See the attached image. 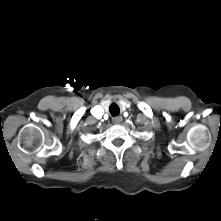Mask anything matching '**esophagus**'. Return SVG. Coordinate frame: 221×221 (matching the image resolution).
I'll use <instances>...</instances> for the list:
<instances>
[{
	"label": "esophagus",
	"instance_id": "obj_1",
	"mask_svg": "<svg viewBox=\"0 0 221 221\" xmlns=\"http://www.w3.org/2000/svg\"><path fill=\"white\" fill-rule=\"evenodd\" d=\"M112 121L114 124H120L122 121V117L121 116H115L112 118Z\"/></svg>",
	"mask_w": 221,
	"mask_h": 221
}]
</instances>
